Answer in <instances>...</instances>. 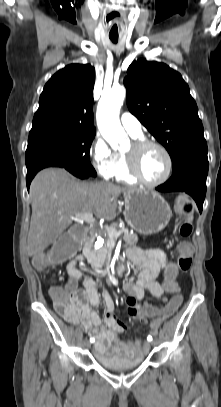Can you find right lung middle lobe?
Masks as SVG:
<instances>
[{"label": "right lung middle lobe", "instance_id": "dd1d6c3e", "mask_svg": "<svg viewBox=\"0 0 221 407\" xmlns=\"http://www.w3.org/2000/svg\"><path fill=\"white\" fill-rule=\"evenodd\" d=\"M96 132L64 127L31 130L25 153L27 168L44 159H55L70 168L96 176L89 151Z\"/></svg>", "mask_w": 221, "mask_h": 407}]
</instances>
